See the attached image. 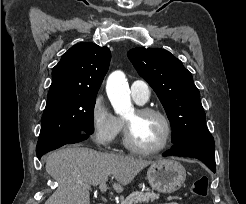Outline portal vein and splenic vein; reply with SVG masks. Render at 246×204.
<instances>
[{
	"instance_id": "1",
	"label": "portal vein and splenic vein",
	"mask_w": 246,
	"mask_h": 204,
	"mask_svg": "<svg viewBox=\"0 0 246 204\" xmlns=\"http://www.w3.org/2000/svg\"><path fill=\"white\" fill-rule=\"evenodd\" d=\"M88 188L90 189L91 187L89 186ZM99 189H100V191L103 192V193L106 192V190H107V185H106V183H105V182L101 183L100 186H99Z\"/></svg>"
}]
</instances>
